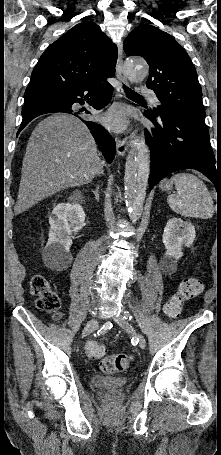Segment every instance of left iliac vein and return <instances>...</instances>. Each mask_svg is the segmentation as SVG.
Masks as SVG:
<instances>
[{"instance_id":"1","label":"left iliac vein","mask_w":221,"mask_h":455,"mask_svg":"<svg viewBox=\"0 0 221 455\" xmlns=\"http://www.w3.org/2000/svg\"><path fill=\"white\" fill-rule=\"evenodd\" d=\"M116 322L120 327H122L123 329H125L127 331L132 332L134 334V336L136 338H138L140 348H142V349L146 348V340L143 337V335L136 332L122 315H120L116 318Z\"/></svg>"}]
</instances>
